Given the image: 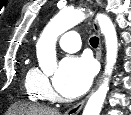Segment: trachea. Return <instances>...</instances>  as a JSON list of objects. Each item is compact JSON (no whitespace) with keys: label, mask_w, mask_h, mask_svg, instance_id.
I'll return each mask as SVG.
<instances>
[{"label":"trachea","mask_w":131,"mask_h":115,"mask_svg":"<svg viewBox=\"0 0 131 115\" xmlns=\"http://www.w3.org/2000/svg\"><path fill=\"white\" fill-rule=\"evenodd\" d=\"M99 43V38L98 37H92L90 39V44L93 48H96L98 46Z\"/></svg>","instance_id":"trachea-1"}]
</instances>
